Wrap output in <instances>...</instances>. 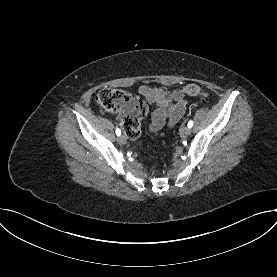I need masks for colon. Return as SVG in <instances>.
<instances>
[{
	"label": "colon",
	"instance_id": "obj_1",
	"mask_svg": "<svg viewBox=\"0 0 277 277\" xmlns=\"http://www.w3.org/2000/svg\"><path fill=\"white\" fill-rule=\"evenodd\" d=\"M189 96L205 97L206 92L196 84L184 87ZM95 102L105 112L120 113V123L131 139L138 138L141 120L147 114L146 104L137 96L116 88H103L95 95Z\"/></svg>",
	"mask_w": 277,
	"mask_h": 277
}]
</instances>
